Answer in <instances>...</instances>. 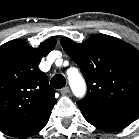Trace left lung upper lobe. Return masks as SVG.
Instances as JSON below:
<instances>
[{
    "label": "left lung upper lobe",
    "mask_w": 139,
    "mask_h": 139,
    "mask_svg": "<svg viewBox=\"0 0 139 139\" xmlns=\"http://www.w3.org/2000/svg\"><path fill=\"white\" fill-rule=\"evenodd\" d=\"M63 49L78 64L88 92L79 107L115 111L139 107V51L109 35L97 34L77 44L60 40Z\"/></svg>",
    "instance_id": "1"
}]
</instances>
